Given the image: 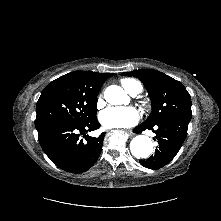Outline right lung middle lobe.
Here are the masks:
<instances>
[{
	"label": "right lung middle lobe",
	"instance_id": "right-lung-middle-lobe-1",
	"mask_svg": "<svg viewBox=\"0 0 221 221\" xmlns=\"http://www.w3.org/2000/svg\"><path fill=\"white\" fill-rule=\"evenodd\" d=\"M97 95L65 76L52 81L43 89L37 102V131L53 124H82L97 118Z\"/></svg>",
	"mask_w": 221,
	"mask_h": 221
}]
</instances>
